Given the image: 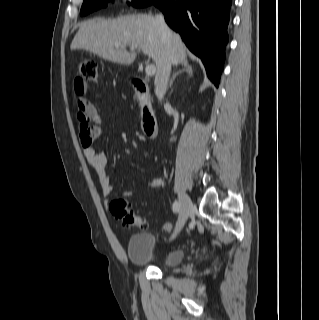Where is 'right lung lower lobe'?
I'll return each mask as SVG.
<instances>
[{
    "label": "right lung lower lobe",
    "mask_w": 319,
    "mask_h": 320,
    "mask_svg": "<svg viewBox=\"0 0 319 320\" xmlns=\"http://www.w3.org/2000/svg\"><path fill=\"white\" fill-rule=\"evenodd\" d=\"M149 5L164 13L167 24L201 58L208 77L218 86L228 42L231 0H153Z\"/></svg>",
    "instance_id": "right-lung-lower-lobe-1"
}]
</instances>
